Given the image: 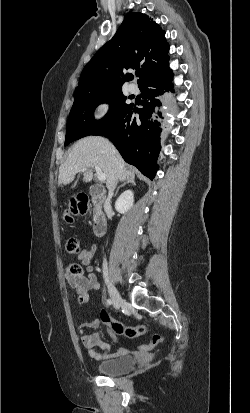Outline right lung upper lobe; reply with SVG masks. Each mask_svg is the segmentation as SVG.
I'll return each mask as SVG.
<instances>
[{"instance_id":"right-lung-upper-lobe-1","label":"right lung upper lobe","mask_w":250,"mask_h":413,"mask_svg":"<svg viewBox=\"0 0 250 413\" xmlns=\"http://www.w3.org/2000/svg\"><path fill=\"white\" fill-rule=\"evenodd\" d=\"M164 35L146 14H128L114 37L84 67L75 95L122 89L123 69H139V85L146 78L169 70V45ZM126 78L129 81L133 75L127 73Z\"/></svg>"}]
</instances>
